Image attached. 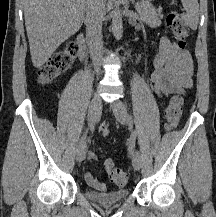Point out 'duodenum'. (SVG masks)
Here are the masks:
<instances>
[{
    "instance_id": "duodenum-1",
    "label": "duodenum",
    "mask_w": 216,
    "mask_h": 217,
    "mask_svg": "<svg viewBox=\"0 0 216 217\" xmlns=\"http://www.w3.org/2000/svg\"><path fill=\"white\" fill-rule=\"evenodd\" d=\"M78 44H79V58L80 60H84L86 57V43L83 35L78 36Z\"/></svg>"
}]
</instances>
